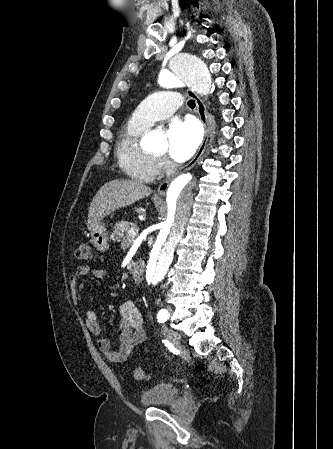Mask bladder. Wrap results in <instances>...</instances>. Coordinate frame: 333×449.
Returning <instances> with one entry per match:
<instances>
[{
  "mask_svg": "<svg viewBox=\"0 0 333 449\" xmlns=\"http://www.w3.org/2000/svg\"><path fill=\"white\" fill-rule=\"evenodd\" d=\"M179 389L172 383L161 382L145 390L140 402L146 407H164L176 403Z\"/></svg>",
  "mask_w": 333,
  "mask_h": 449,
  "instance_id": "obj_1",
  "label": "bladder"
}]
</instances>
